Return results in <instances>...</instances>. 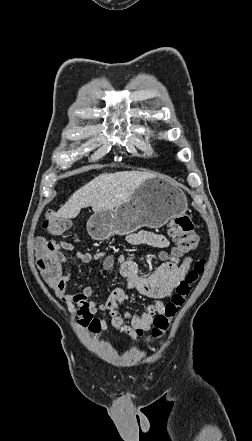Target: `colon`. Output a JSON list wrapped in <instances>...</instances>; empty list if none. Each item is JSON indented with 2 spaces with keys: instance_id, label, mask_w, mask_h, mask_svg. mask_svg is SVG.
Segmentation results:
<instances>
[{
  "instance_id": "1",
  "label": "colon",
  "mask_w": 252,
  "mask_h": 441,
  "mask_svg": "<svg viewBox=\"0 0 252 441\" xmlns=\"http://www.w3.org/2000/svg\"><path fill=\"white\" fill-rule=\"evenodd\" d=\"M69 227L65 219L49 216L44 223L45 230L54 235H62ZM168 234L176 244V251L179 254H186L193 251L198 244V236L194 231V225L188 216L174 218L169 225ZM60 243L50 240H38L35 246L36 265L47 281L57 283L61 279V255L59 253ZM205 269V261L199 260L190 270L185 278L178 284L176 292L171 300L165 305L163 313L157 314L153 322V337L161 336L167 329L170 320L183 306L186 298ZM102 324L99 319H93L89 329L93 332L101 330ZM143 331H137L142 335Z\"/></svg>"
}]
</instances>
